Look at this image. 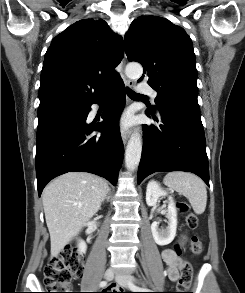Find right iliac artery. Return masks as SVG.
Segmentation results:
<instances>
[{"instance_id": "right-iliac-artery-1", "label": "right iliac artery", "mask_w": 245, "mask_h": 293, "mask_svg": "<svg viewBox=\"0 0 245 293\" xmlns=\"http://www.w3.org/2000/svg\"><path fill=\"white\" fill-rule=\"evenodd\" d=\"M107 286V281H101L100 282V287H105Z\"/></svg>"}]
</instances>
